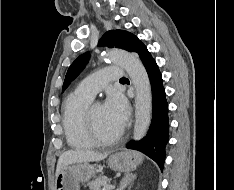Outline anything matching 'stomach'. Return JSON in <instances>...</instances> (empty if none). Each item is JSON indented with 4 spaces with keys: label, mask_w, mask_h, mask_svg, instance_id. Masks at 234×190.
Segmentation results:
<instances>
[{
    "label": "stomach",
    "mask_w": 234,
    "mask_h": 190,
    "mask_svg": "<svg viewBox=\"0 0 234 190\" xmlns=\"http://www.w3.org/2000/svg\"><path fill=\"white\" fill-rule=\"evenodd\" d=\"M142 162L139 153L118 151L110 155L108 165L114 171L129 172ZM97 173L95 165L89 163L69 164L56 176L55 190H79L81 182H87Z\"/></svg>",
    "instance_id": "stomach-1"
}]
</instances>
